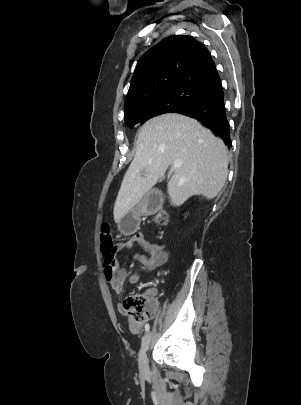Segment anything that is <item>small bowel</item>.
<instances>
[{
    "label": "small bowel",
    "mask_w": 301,
    "mask_h": 405,
    "mask_svg": "<svg viewBox=\"0 0 301 405\" xmlns=\"http://www.w3.org/2000/svg\"><path fill=\"white\" fill-rule=\"evenodd\" d=\"M136 244L142 247L144 253L134 252L131 257L143 265L147 270H153L166 262L168 255L163 246L149 241L141 232L134 234L127 241L118 243L116 250L132 251ZM126 265L127 261H122L119 258L113 257L112 264H110V266H104L105 279L117 295L123 292L126 284L137 283L140 278L137 273L129 274ZM146 294L154 299L157 291L154 288H150L147 290ZM118 308L120 313L123 314V307L119 306Z\"/></svg>",
    "instance_id": "obj_1"
}]
</instances>
